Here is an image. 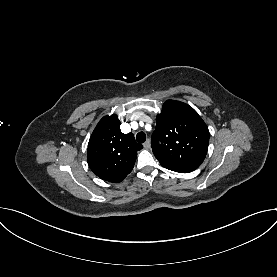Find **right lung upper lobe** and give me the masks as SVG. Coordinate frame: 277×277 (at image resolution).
<instances>
[{"instance_id": "1", "label": "right lung upper lobe", "mask_w": 277, "mask_h": 277, "mask_svg": "<svg viewBox=\"0 0 277 277\" xmlns=\"http://www.w3.org/2000/svg\"><path fill=\"white\" fill-rule=\"evenodd\" d=\"M140 149L142 145L136 143L132 133L121 132L116 115L106 116L90 137L88 165L99 178L118 183L132 171Z\"/></svg>"}]
</instances>
